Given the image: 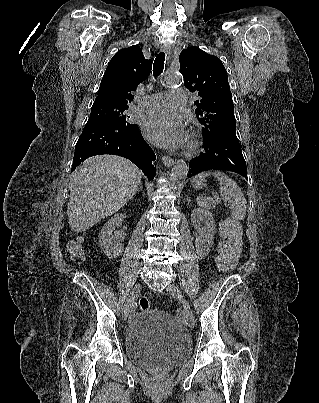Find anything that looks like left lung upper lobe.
<instances>
[{"instance_id": "5c2ea615", "label": "left lung upper lobe", "mask_w": 319, "mask_h": 403, "mask_svg": "<svg viewBox=\"0 0 319 403\" xmlns=\"http://www.w3.org/2000/svg\"><path fill=\"white\" fill-rule=\"evenodd\" d=\"M179 61L185 87L200 96L195 102V113L204 126L203 137L226 127H236L232 94L222 61L197 47L183 50Z\"/></svg>"}]
</instances>
